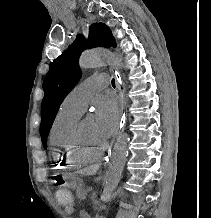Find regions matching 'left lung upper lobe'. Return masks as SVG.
<instances>
[{
	"label": "left lung upper lobe",
	"mask_w": 211,
	"mask_h": 218,
	"mask_svg": "<svg viewBox=\"0 0 211 218\" xmlns=\"http://www.w3.org/2000/svg\"><path fill=\"white\" fill-rule=\"evenodd\" d=\"M97 46L115 47L111 30L104 23H94L89 28V38L77 36L74 43L67 48L50 65V70L43 81L44 98L41 105L40 135L44 148H47V136L58 109L67 94L74 88L81 77L78 59L82 51Z\"/></svg>",
	"instance_id": "obj_1"
}]
</instances>
